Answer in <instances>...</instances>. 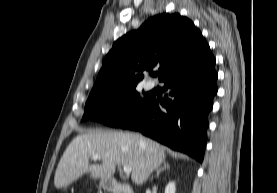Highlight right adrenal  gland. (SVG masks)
Instances as JSON below:
<instances>
[{
    "label": "right adrenal gland",
    "mask_w": 277,
    "mask_h": 193,
    "mask_svg": "<svg viewBox=\"0 0 277 193\" xmlns=\"http://www.w3.org/2000/svg\"><path fill=\"white\" fill-rule=\"evenodd\" d=\"M166 169H167V170L169 169V164L166 163V162H164V166H163L162 168H158V169L156 170V176L158 177V176L160 175V173H161L162 171L166 170ZM150 180H153V177H151Z\"/></svg>",
    "instance_id": "obj_1"
}]
</instances>
